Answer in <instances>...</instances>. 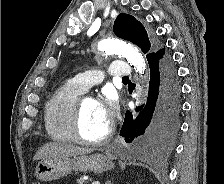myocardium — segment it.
<instances>
[{"label": "myocardium", "mask_w": 224, "mask_h": 184, "mask_svg": "<svg viewBox=\"0 0 224 184\" xmlns=\"http://www.w3.org/2000/svg\"><path fill=\"white\" fill-rule=\"evenodd\" d=\"M86 98L87 97H80L77 100L74 111H73L72 120H71V131H72L73 139L75 142L80 144L89 145V146H99L110 140L114 132V125L110 124L106 134L99 139L85 138L81 132V120H82L83 103Z\"/></svg>", "instance_id": "obj_1"}]
</instances>
